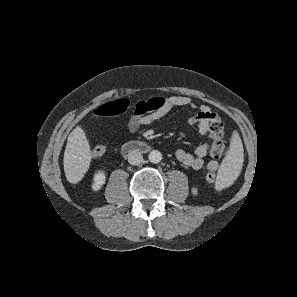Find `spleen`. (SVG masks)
I'll return each instance as SVG.
<instances>
[{"mask_svg":"<svg viewBox=\"0 0 297 297\" xmlns=\"http://www.w3.org/2000/svg\"><path fill=\"white\" fill-rule=\"evenodd\" d=\"M243 145L238 132L232 134L228 154L224 158L219 171V182L230 185L239 175L243 166Z\"/></svg>","mask_w":297,"mask_h":297,"instance_id":"1","label":"spleen"}]
</instances>
